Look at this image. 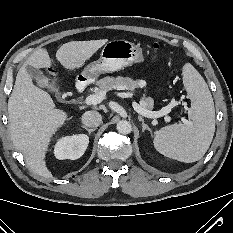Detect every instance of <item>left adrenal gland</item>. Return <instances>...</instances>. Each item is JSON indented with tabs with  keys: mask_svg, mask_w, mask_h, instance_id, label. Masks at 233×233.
<instances>
[{
	"mask_svg": "<svg viewBox=\"0 0 233 233\" xmlns=\"http://www.w3.org/2000/svg\"><path fill=\"white\" fill-rule=\"evenodd\" d=\"M139 121L142 122V131L144 132L145 130H148L150 133H152L151 129L149 128V126L145 123L144 119L139 116L138 117Z\"/></svg>",
	"mask_w": 233,
	"mask_h": 233,
	"instance_id": "1",
	"label": "left adrenal gland"
}]
</instances>
